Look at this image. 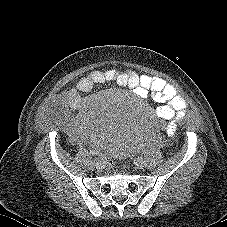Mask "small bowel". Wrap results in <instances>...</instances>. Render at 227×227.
<instances>
[{"mask_svg": "<svg viewBox=\"0 0 227 227\" xmlns=\"http://www.w3.org/2000/svg\"><path fill=\"white\" fill-rule=\"evenodd\" d=\"M104 83H113L119 87L129 88L141 99L151 95L160 105L155 109L154 115L162 121V129L168 137H173L176 131L165 130V119L179 120L185 111L186 103L176 88L160 77L140 75L133 71L118 72L113 69L95 70L81 78L67 88L58 100L63 104L79 111L75 116L65 115L60 120V128L77 144H84L90 138L89 127L84 110L88 100L82 95L91 91L95 86ZM82 111V112H80Z\"/></svg>", "mask_w": 227, "mask_h": 227, "instance_id": "1", "label": "small bowel"}]
</instances>
